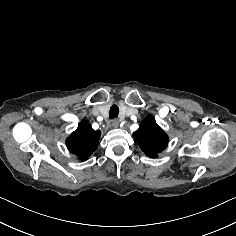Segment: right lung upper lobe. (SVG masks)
<instances>
[{"mask_svg":"<svg viewBox=\"0 0 236 236\" xmlns=\"http://www.w3.org/2000/svg\"><path fill=\"white\" fill-rule=\"evenodd\" d=\"M100 135V131H94L87 121H82L67 138L66 145L80 160H86L96 150Z\"/></svg>","mask_w":236,"mask_h":236,"instance_id":"right-lung-upper-lobe-1","label":"right lung upper lobe"}]
</instances>
